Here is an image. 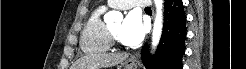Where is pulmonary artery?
Segmentation results:
<instances>
[{
	"label": "pulmonary artery",
	"mask_w": 246,
	"mask_h": 69,
	"mask_svg": "<svg viewBox=\"0 0 246 69\" xmlns=\"http://www.w3.org/2000/svg\"><path fill=\"white\" fill-rule=\"evenodd\" d=\"M108 4L111 7L120 8V9H128L133 6L138 7H148L150 5L149 1H136V0H109Z\"/></svg>",
	"instance_id": "obj_1"
}]
</instances>
